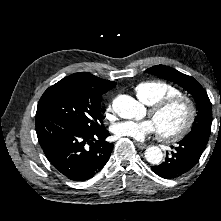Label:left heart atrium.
I'll list each match as a JSON object with an SVG mask.
<instances>
[{
	"label": "left heart atrium",
	"instance_id": "39dd6f15",
	"mask_svg": "<svg viewBox=\"0 0 221 221\" xmlns=\"http://www.w3.org/2000/svg\"><path fill=\"white\" fill-rule=\"evenodd\" d=\"M156 129L154 122L151 120L121 121L113 126L112 131L117 137L143 140L146 135L154 133Z\"/></svg>",
	"mask_w": 221,
	"mask_h": 221
}]
</instances>
